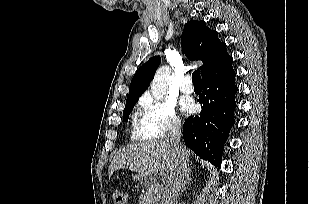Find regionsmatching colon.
Here are the masks:
<instances>
[{"label":"colon","instance_id":"colon-1","mask_svg":"<svg viewBox=\"0 0 309 204\" xmlns=\"http://www.w3.org/2000/svg\"><path fill=\"white\" fill-rule=\"evenodd\" d=\"M114 204H126L128 201V192L125 190L116 189L113 191Z\"/></svg>","mask_w":309,"mask_h":204}]
</instances>
